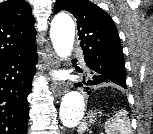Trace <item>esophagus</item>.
<instances>
[{
    "label": "esophagus",
    "instance_id": "esophagus-1",
    "mask_svg": "<svg viewBox=\"0 0 153 134\" xmlns=\"http://www.w3.org/2000/svg\"><path fill=\"white\" fill-rule=\"evenodd\" d=\"M46 54L48 68L51 70L58 69L60 67V61L50 46H46ZM52 89L56 94L63 95L66 93L68 87L62 81H53Z\"/></svg>",
    "mask_w": 153,
    "mask_h": 134
}]
</instances>
